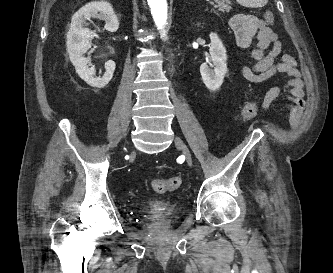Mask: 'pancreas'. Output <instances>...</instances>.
Instances as JSON below:
<instances>
[{
	"label": "pancreas",
	"mask_w": 333,
	"mask_h": 273,
	"mask_svg": "<svg viewBox=\"0 0 333 273\" xmlns=\"http://www.w3.org/2000/svg\"><path fill=\"white\" fill-rule=\"evenodd\" d=\"M217 5L215 7H219V10L224 12L225 10L226 11H229L230 10V1L229 0H215Z\"/></svg>",
	"instance_id": "cf45deb5"
}]
</instances>
